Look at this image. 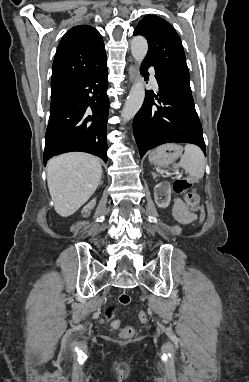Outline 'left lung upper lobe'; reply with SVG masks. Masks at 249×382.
I'll return each mask as SVG.
<instances>
[{"instance_id": "5c2ea615", "label": "left lung upper lobe", "mask_w": 249, "mask_h": 382, "mask_svg": "<svg viewBox=\"0 0 249 382\" xmlns=\"http://www.w3.org/2000/svg\"><path fill=\"white\" fill-rule=\"evenodd\" d=\"M134 35L146 37L149 50L145 59L153 63L156 71L191 91L180 37L167 21L155 15H148L139 22Z\"/></svg>"}]
</instances>
